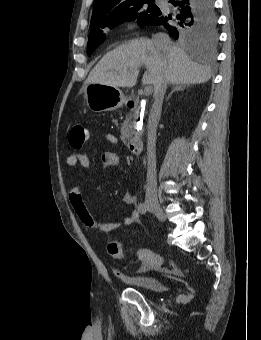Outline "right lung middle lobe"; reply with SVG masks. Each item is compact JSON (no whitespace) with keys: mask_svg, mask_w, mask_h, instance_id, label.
I'll return each instance as SVG.
<instances>
[{"mask_svg":"<svg viewBox=\"0 0 261 340\" xmlns=\"http://www.w3.org/2000/svg\"><path fill=\"white\" fill-rule=\"evenodd\" d=\"M160 12L155 5V0H143L119 9L115 14L106 16L90 23V35L88 38L87 54L90 56L100 45L106 35L103 28H114L116 25L132 20H138V24L145 26L151 24ZM176 39L180 40H213L217 37V18L213 14H199L193 11L179 22L174 23Z\"/></svg>","mask_w":261,"mask_h":340,"instance_id":"right-lung-middle-lobe-1","label":"right lung middle lobe"}]
</instances>
